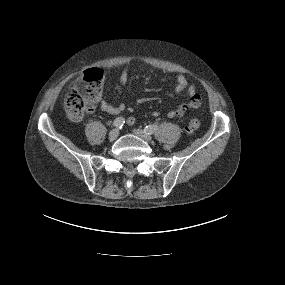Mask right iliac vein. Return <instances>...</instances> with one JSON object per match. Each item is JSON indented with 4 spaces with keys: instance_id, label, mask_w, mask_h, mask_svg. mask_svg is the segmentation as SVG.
Masks as SVG:
<instances>
[{
    "instance_id": "right-iliac-vein-1",
    "label": "right iliac vein",
    "mask_w": 285,
    "mask_h": 285,
    "mask_svg": "<svg viewBox=\"0 0 285 285\" xmlns=\"http://www.w3.org/2000/svg\"><path fill=\"white\" fill-rule=\"evenodd\" d=\"M118 136H119V130L118 129H113L109 133V139L112 141L117 139Z\"/></svg>"
}]
</instances>
